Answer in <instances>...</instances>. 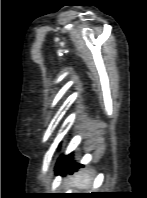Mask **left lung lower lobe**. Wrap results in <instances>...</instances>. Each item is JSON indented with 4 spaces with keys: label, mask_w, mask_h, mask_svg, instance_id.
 Instances as JSON below:
<instances>
[{
    "label": "left lung lower lobe",
    "mask_w": 147,
    "mask_h": 198,
    "mask_svg": "<svg viewBox=\"0 0 147 198\" xmlns=\"http://www.w3.org/2000/svg\"><path fill=\"white\" fill-rule=\"evenodd\" d=\"M72 157L73 154H70L68 156H62L59 158L55 167L56 174L63 176L66 173H72L78 168L83 167V165L73 162Z\"/></svg>",
    "instance_id": "0a47b994"
}]
</instances>
